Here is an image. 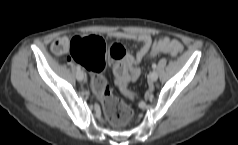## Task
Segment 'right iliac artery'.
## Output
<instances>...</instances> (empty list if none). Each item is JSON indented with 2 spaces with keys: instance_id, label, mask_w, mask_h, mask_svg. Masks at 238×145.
I'll list each match as a JSON object with an SVG mask.
<instances>
[{
  "instance_id": "right-iliac-artery-1",
  "label": "right iliac artery",
  "mask_w": 238,
  "mask_h": 145,
  "mask_svg": "<svg viewBox=\"0 0 238 145\" xmlns=\"http://www.w3.org/2000/svg\"><path fill=\"white\" fill-rule=\"evenodd\" d=\"M81 70V67L78 65L77 66V71H80Z\"/></svg>"
}]
</instances>
